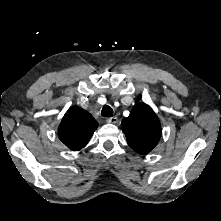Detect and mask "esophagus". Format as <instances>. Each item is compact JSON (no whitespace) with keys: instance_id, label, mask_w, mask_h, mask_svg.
<instances>
[{"instance_id":"obj_1","label":"esophagus","mask_w":221,"mask_h":221,"mask_svg":"<svg viewBox=\"0 0 221 221\" xmlns=\"http://www.w3.org/2000/svg\"><path fill=\"white\" fill-rule=\"evenodd\" d=\"M106 122L111 123V124H115L118 122V118L117 117H110V118H107Z\"/></svg>"}]
</instances>
